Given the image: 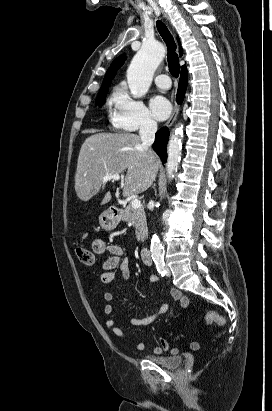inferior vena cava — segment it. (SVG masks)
Listing matches in <instances>:
<instances>
[{"instance_id": "inferior-vena-cava-1", "label": "inferior vena cava", "mask_w": 272, "mask_h": 411, "mask_svg": "<svg viewBox=\"0 0 272 411\" xmlns=\"http://www.w3.org/2000/svg\"><path fill=\"white\" fill-rule=\"evenodd\" d=\"M157 131V122L151 118H145L140 124L139 135L142 142V146L146 151H149L150 146L155 139V133ZM150 209H153V204L150 205Z\"/></svg>"}]
</instances>
